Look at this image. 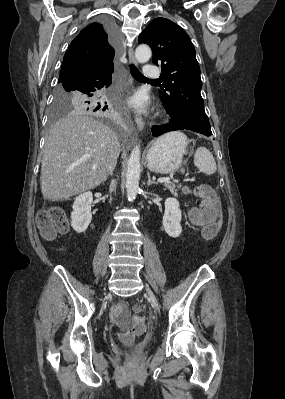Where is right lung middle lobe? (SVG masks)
I'll use <instances>...</instances> for the list:
<instances>
[{"label":"right lung middle lobe","instance_id":"obj_1","mask_svg":"<svg viewBox=\"0 0 285 399\" xmlns=\"http://www.w3.org/2000/svg\"><path fill=\"white\" fill-rule=\"evenodd\" d=\"M105 90H102L96 97H89L82 90L75 88L71 84H59L55 91V98L52 107V118L53 123L58 117L71 113L72 111L77 112H95L96 114L108 115L111 113V109L102 106H94V101L101 97Z\"/></svg>","mask_w":285,"mask_h":399}]
</instances>
